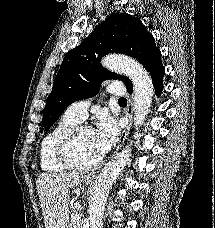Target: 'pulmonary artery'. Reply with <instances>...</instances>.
Listing matches in <instances>:
<instances>
[{"label":"pulmonary artery","instance_id":"pulmonary-artery-1","mask_svg":"<svg viewBox=\"0 0 215 228\" xmlns=\"http://www.w3.org/2000/svg\"><path fill=\"white\" fill-rule=\"evenodd\" d=\"M105 91L114 94V96H128L129 88H125V84H119V82H108ZM91 103V99L76 101L69 105L67 112L75 119L82 121L85 119Z\"/></svg>","mask_w":215,"mask_h":228}]
</instances>
